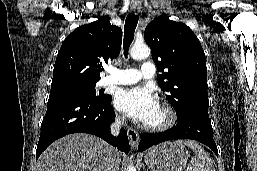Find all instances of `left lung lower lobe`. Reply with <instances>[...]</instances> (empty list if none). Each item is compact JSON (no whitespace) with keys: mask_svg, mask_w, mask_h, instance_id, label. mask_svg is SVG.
<instances>
[{"mask_svg":"<svg viewBox=\"0 0 257 171\" xmlns=\"http://www.w3.org/2000/svg\"><path fill=\"white\" fill-rule=\"evenodd\" d=\"M138 146L139 151L173 139H193L211 148L218 154L217 146L213 139L211 121L208 114L189 112L179 117L177 125L169 131L162 133H143Z\"/></svg>","mask_w":257,"mask_h":171,"instance_id":"left-lung-lower-lobe-1","label":"left lung lower lobe"}]
</instances>
